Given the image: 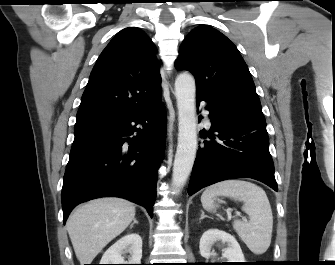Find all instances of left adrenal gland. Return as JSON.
Wrapping results in <instances>:
<instances>
[{"instance_id":"a2214340","label":"left adrenal gland","mask_w":335,"mask_h":265,"mask_svg":"<svg viewBox=\"0 0 335 265\" xmlns=\"http://www.w3.org/2000/svg\"><path fill=\"white\" fill-rule=\"evenodd\" d=\"M205 217H208L207 215H205V213H204V211L203 210H201V217H200V220L201 219H203V218H205Z\"/></svg>"}]
</instances>
